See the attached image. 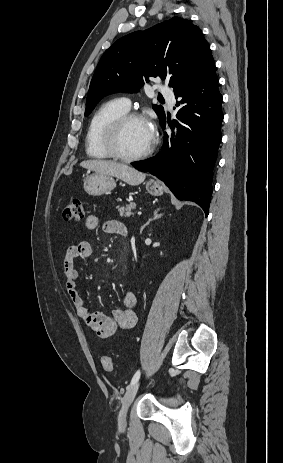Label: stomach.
Instances as JSON below:
<instances>
[{
    "label": "stomach",
    "mask_w": 283,
    "mask_h": 463,
    "mask_svg": "<svg viewBox=\"0 0 283 463\" xmlns=\"http://www.w3.org/2000/svg\"><path fill=\"white\" fill-rule=\"evenodd\" d=\"M115 187V179L108 175L95 173L84 180V190L93 196L110 193ZM146 190L152 196H161L163 194V186L159 181L153 179L146 183Z\"/></svg>",
    "instance_id": "0dacf381"
}]
</instances>
